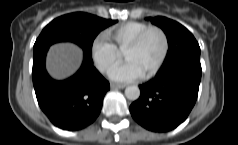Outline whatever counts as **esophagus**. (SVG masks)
Wrapping results in <instances>:
<instances>
[{
  "instance_id": "1",
  "label": "esophagus",
  "mask_w": 238,
  "mask_h": 145,
  "mask_svg": "<svg viewBox=\"0 0 238 145\" xmlns=\"http://www.w3.org/2000/svg\"><path fill=\"white\" fill-rule=\"evenodd\" d=\"M110 87L111 88H117V89H123V88H125V85H123V84H116V83H111L110 84Z\"/></svg>"
}]
</instances>
